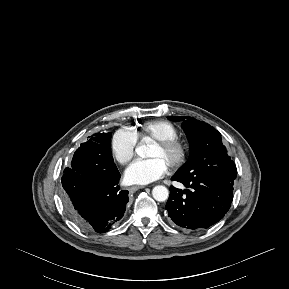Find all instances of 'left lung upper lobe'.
<instances>
[{"label": "left lung upper lobe", "mask_w": 289, "mask_h": 289, "mask_svg": "<svg viewBox=\"0 0 289 289\" xmlns=\"http://www.w3.org/2000/svg\"><path fill=\"white\" fill-rule=\"evenodd\" d=\"M167 118L174 122L183 121L182 127L191 148L190 160L176 174L188 180L216 177L233 186L237 169L222 144L221 134L209 124L192 117Z\"/></svg>", "instance_id": "1"}]
</instances>
